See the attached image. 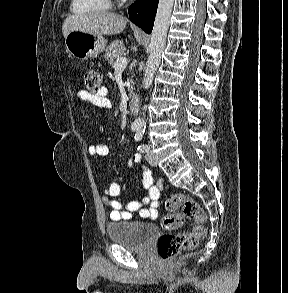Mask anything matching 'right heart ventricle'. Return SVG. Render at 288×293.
<instances>
[{"instance_id": "obj_1", "label": "right heart ventricle", "mask_w": 288, "mask_h": 293, "mask_svg": "<svg viewBox=\"0 0 288 293\" xmlns=\"http://www.w3.org/2000/svg\"><path fill=\"white\" fill-rule=\"evenodd\" d=\"M110 0H71L70 9L76 14H85L108 10Z\"/></svg>"}]
</instances>
